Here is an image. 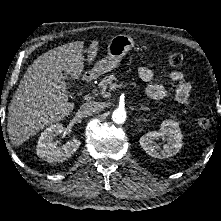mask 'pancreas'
<instances>
[{"mask_svg":"<svg viewBox=\"0 0 221 221\" xmlns=\"http://www.w3.org/2000/svg\"><path fill=\"white\" fill-rule=\"evenodd\" d=\"M114 80H116V77L114 75H108L98 84V88L100 90V93L104 97H108L109 96L110 93L107 90V88L112 84V82Z\"/></svg>","mask_w":221,"mask_h":221,"instance_id":"pancreas-1","label":"pancreas"}]
</instances>
